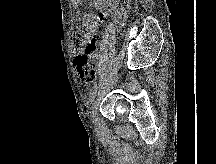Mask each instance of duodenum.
<instances>
[{
  "label": "duodenum",
  "instance_id": "duodenum-1",
  "mask_svg": "<svg viewBox=\"0 0 216 164\" xmlns=\"http://www.w3.org/2000/svg\"><path fill=\"white\" fill-rule=\"evenodd\" d=\"M96 1H97L98 6H100V7H101V6H102V7L104 6V1H105V0H96Z\"/></svg>",
  "mask_w": 216,
  "mask_h": 164
}]
</instances>
